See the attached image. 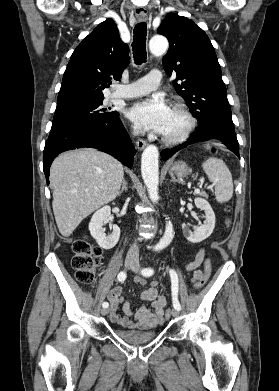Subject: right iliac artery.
I'll list each match as a JSON object with an SVG mask.
<instances>
[{"label":"right iliac artery","instance_id":"1","mask_svg":"<svg viewBox=\"0 0 279 391\" xmlns=\"http://www.w3.org/2000/svg\"><path fill=\"white\" fill-rule=\"evenodd\" d=\"M126 279V272L125 271H121L119 274H118V281L119 282H123L124 280ZM103 308H107L109 306L108 302H104L102 304Z\"/></svg>","mask_w":279,"mask_h":391}]
</instances>
